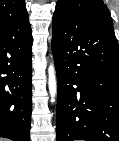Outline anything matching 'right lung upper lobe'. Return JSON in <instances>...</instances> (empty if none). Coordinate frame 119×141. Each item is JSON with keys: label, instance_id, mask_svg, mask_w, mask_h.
<instances>
[{"label": "right lung upper lobe", "instance_id": "obj_1", "mask_svg": "<svg viewBox=\"0 0 119 141\" xmlns=\"http://www.w3.org/2000/svg\"><path fill=\"white\" fill-rule=\"evenodd\" d=\"M28 16L24 0H0V23Z\"/></svg>", "mask_w": 119, "mask_h": 141}]
</instances>
